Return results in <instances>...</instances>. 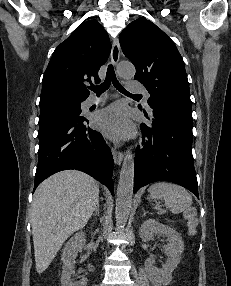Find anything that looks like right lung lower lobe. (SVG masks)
<instances>
[{"instance_id":"right-lung-lower-lobe-1","label":"right lung lower lobe","mask_w":231,"mask_h":286,"mask_svg":"<svg viewBox=\"0 0 231 286\" xmlns=\"http://www.w3.org/2000/svg\"><path fill=\"white\" fill-rule=\"evenodd\" d=\"M85 117L66 118L39 127V161L36 187L50 175L66 170L83 171L114 192V161L102 135L88 127Z\"/></svg>"}]
</instances>
